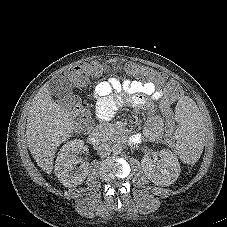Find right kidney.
<instances>
[{
  "label": "right kidney",
  "mask_w": 227,
  "mask_h": 227,
  "mask_svg": "<svg viewBox=\"0 0 227 227\" xmlns=\"http://www.w3.org/2000/svg\"><path fill=\"white\" fill-rule=\"evenodd\" d=\"M83 146L84 141L74 139L64 144L58 153L55 174L66 187L70 188L82 184L88 175L89 163L82 162L79 167L75 166L79 163L77 154L82 151Z\"/></svg>",
  "instance_id": "1"
}]
</instances>
